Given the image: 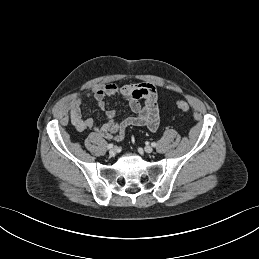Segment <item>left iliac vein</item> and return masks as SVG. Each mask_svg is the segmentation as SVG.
I'll return each mask as SVG.
<instances>
[{"instance_id":"4c4485c4","label":"left iliac vein","mask_w":259,"mask_h":259,"mask_svg":"<svg viewBox=\"0 0 259 259\" xmlns=\"http://www.w3.org/2000/svg\"><path fill=\"white\" fill-rule=\"evenodd\" d=\"M144 151H145L146 153H152L153 148L148 145V146H146V147L144 148Z\"/></svg>"}]
</instances>
